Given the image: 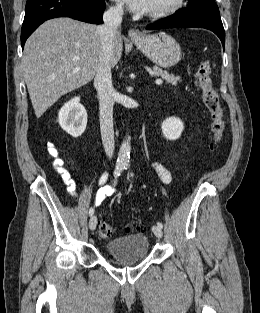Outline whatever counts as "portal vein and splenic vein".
<instances>
[{
    "mask_svg": "<svg viewBox=\"0 0 260 313\" xmlns=\"http://www.w3.org/2000/svg\"><path fill=\"white\" fill-rule=\"evenodd\" d=\"M79 58L78 57H74V60H78ZM162 80L161 79H157L156 80V84H158V85H160V84H162Z\"/></svg>",
    "mask_w": 260,
    "mask_h": 313,
    "instance_id": "1",
    "label": "portal vein and splenic vein"
}]
</instances>
